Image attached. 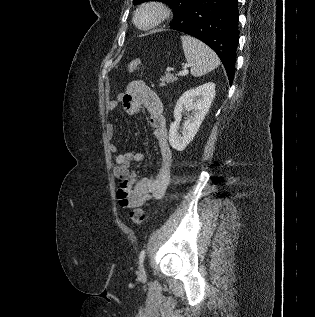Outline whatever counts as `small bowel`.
<instances>
[{
	"label": "small bowel",
	"mask_w": 315,
	"mask_h": 317,
	"mask_svg": "<svg viewBox=\"0 0 315 317\" xmlns=\"http://www.w3.org/2000/svg\"><path fill=\"white\" fill-rule=\"evenodd\" d=\"M120 105L131 117L136 116L142 109L147 112L148 122L160 150V166L157 174L154 177L137 178L131 169V164L143 161L144 154L142 152L119 154L118 145L113 140L115 125L108 123L106 126V136L113 153V174L119 183L118 202L123 208H135L142 206L149 199H160L164 196L170 181L172 151L168 142L163 104L159 96L144 82H130L124 93L108 102L107 109L113 111Z\"/></svg>",
	"instance_id": "small-bowel-1"
}]
</instances>
